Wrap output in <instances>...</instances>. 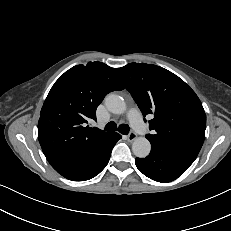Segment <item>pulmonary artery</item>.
I'll use <instances>...</instances> for the list:
<instances>
[{"label":"pulmonary artery","instance_id":"1","mask_svg":"<svg viewBox=\"0 0 231 231\" xmlns=\"http://www.w3.org/2000/svg\"><path fill=\"white\" fill-rule=\"evenodd\" d=\"M127 119L130 121L133 129L137 133H144L147 131V126L143 122L141 114L138 109L133 108L129 110L127 113Z\"/></svg>","mask_w":231,"mask_h":231}]
</instances>
